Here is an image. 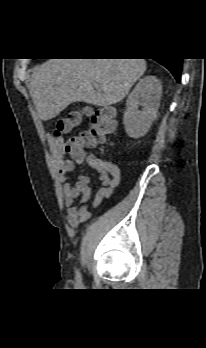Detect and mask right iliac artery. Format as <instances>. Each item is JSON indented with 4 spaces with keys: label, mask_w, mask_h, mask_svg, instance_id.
Masks as SVG:
<instances>
[{
    "label": "right iliac artery",
    "mask_w": 206,
    "mask_h": 348,
    "mask_svg": "<svg viewBox=\"0 0 206 348\" xmlns=\"http://www.w3.org/2000/svg\"><path fill=\"white\" fill-rule=\"evenodd\" d=\"M76 279L79 283L81 282V276L79 272H77Z\"/></svg>",
    "instance_id": "82829eb1"
}]
</instances>
